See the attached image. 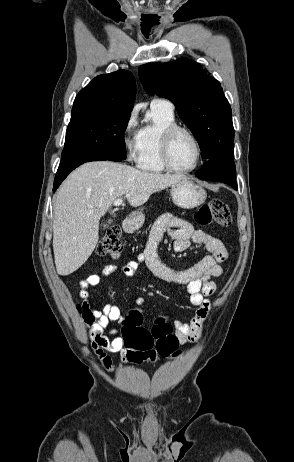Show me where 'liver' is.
Listing matches in <instances>:
<instances>
[{
  "label": "liver",
  "mask_w": 294,
  "mask_h": 462,
  "mask_svg": "<svg viewBox=\"0 0 294 462\" xmlns=\"http://www.w3.org/2000/svg\"><path fill=\"white\" fill-rule=\"evenodd\" d=\"M186 178L182 174L141 171L125 164L94 161L73 171L55 197L53 250L56 270L66 276L79 269L99 239V221L116 199L126 195L138 207L149 197Z\"/></svg>",
  "instance_id": "liver-1"
}]
</instances>
